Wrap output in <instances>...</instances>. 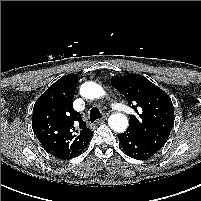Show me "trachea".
Returning <instances> with one entry per match:
<instances>
[{
	"label": "trachea",
	"mask_w": 201,
	"mask_h": 201,
	"mask_svg": "<svg viewBox=\"0 0 201 201\" xmlns=\"http://www.w3.org/2000/svg\"><path fill=\"white\" fill-rule=\"evenodd\" d=\"M102 118V114L100 113L99 109L97 107H93L90 110V120L91 123L94 122L96 119Z\"/></svg>",
	"instance_id": "1"
}]
</instances>
